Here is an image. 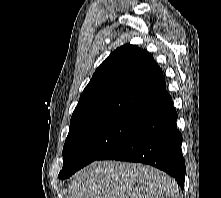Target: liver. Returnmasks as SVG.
Masks as SVG:
<instances>
[{
	"label": "liver",
	"mask_w": 221,
	"mask_h": 198,
	"mask_svg": "<svg viewBox=\"0 0 221 198\" xmlns=\"http://www.w3.org/2000/svg\"><path fill=\"white\" fill-rule=\"evenodd\" d=\"M68 198H180L179 185L143 164L95 161L77 172Z\"/></svg>",
	"instance_id": "obj_1"
}]
</instances>
